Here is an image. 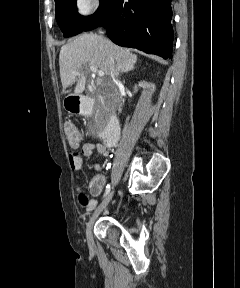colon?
I'll use <instances>...</instances> for the list:
<instances>
[{"label": "colon", "instance_id": "colon-1", "mask_svg": "<svg viewBox=\"0 0 240 288\" xmlns=\"http://www.w3.org/2000/svg\"><path fill=\"white\" fill-rule=\"evenodd\" d=\"M64 132L67 138V141L71 147H77L82 141V134L80 131L70 122L64 123ZM89 189L92 192L97 190V185L93 181L89 185Z\"/></svg>", "mask_w": 240, "mask_h": 288}]
</instances>
